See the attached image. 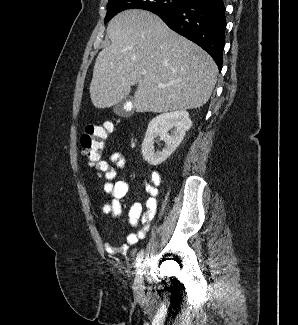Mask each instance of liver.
Instances as JSON below:
<instances>
[{"mask_svg":"<svg viewBox=\"0 0 298 325\" xmlns=\"http://www.w3.org/2000/svg\"><path fill=\"white\" fill-rule=\"evenodd\" d=\"M107 36L111 44L99 52L89 86L96 108L118 104L134 84L136 112L199 108L210 98L218 72L213 58L157 14L123 10L108 22Z\"/></svg>","mask_w":298,"mask_h":325,"instance_id":"obj_1","label":"liver"}]
</instances>
